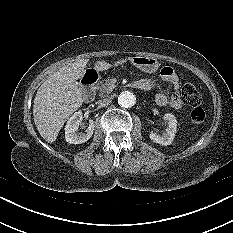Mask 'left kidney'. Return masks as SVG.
Wrapping results in <instances>:
<instances>
[{
    "label": "left kidney",
    "instance_id": "5707ae66",
    "mask_svg": "<svg viewBox=\"0 0 233 233\" xmlns=\"http://www.w3.org/2000/svg\"><path fill=\"white\" fill-rule=\"evenodd\" d=\"M163 119L167 123V128L165 131L161 135L151 132L149 137L155 143L169 145L172 143L177 130V120L176 117L171 113H166L163 116Z\"/></svg>",
    "mask_w": 233,
    "mask_h": 233
}]
</instances>
